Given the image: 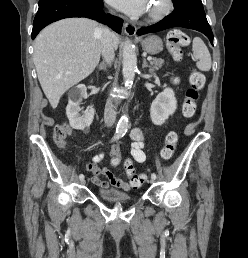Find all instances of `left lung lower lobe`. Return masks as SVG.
I'll return each mask as SVG.
<instances>
[{
	"mask_svg": "<svg viewBox=\"0 0 248 258\" xmlns=\"http://www.w3.org/2000/svg\"><path fill=\"white\" fill-rule=\"evenodd\" d=\"M172 27H184L202 32L209 38L213 45V33L206 19L203 6L175 9L160 22L140 28L137 34L155 33Z\"/></svg>",
	"mask_w": 248,
	"mask_h": 258,
	"instance_id": "obj_1",
	"label": "left lung lower lobe"
}]
</instances>
